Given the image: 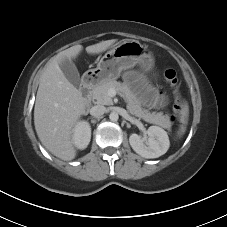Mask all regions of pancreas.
<instances>
[{
    "label": "pancreas",
    "instance_id": "obj_1",
    "mask_svg": "<svg viewBox=\"0 0 227 227\" xmlns=\"http://www.w3.org/2000/svg\"><path fill=\"white\" fill-rule=\"evenodd\" d=\"M110 89H115L117 92L124 95L127 102V109L132 115L142 118L146 122L159 125L165 129H171V121L168 115H163L162 112L150 113L143 109L131 91L121 82L116 80L105 81L91 91V97L95 100L96 104L112 105L113 101L109 95Z\"/></svg>",
    "mask_w": 227,
    "mask_h": 227
}]
</instances>
